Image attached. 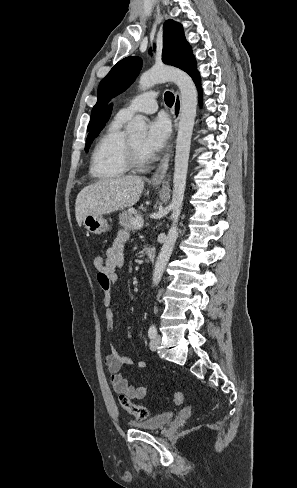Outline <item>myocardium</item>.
<instances>
[{
    "label": "myocardium",
    "mask_w": 297,
    "mask_h": 488,
    "mask_svg": "<svg viewBox=\"0 0 297 488\" xmlns=\"http://www.w3.org/2000/svg\"><path fill=\"white\" fill-rule=\"evenodd\" d=\"M126 159H127L128 166L134 169H143L150 162L148 157L146 158L140 157L137 148L134 146V144L131 142L130 139H128L127 141Z\"/></svg>",
    "instance_id": "obj_1"
}]
</instances>
